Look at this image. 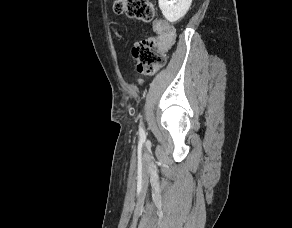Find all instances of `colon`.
Returning a JSON list of instances; mask_svg holds the SVG:
<instances>
[{
  "instance_id": "obj_1",
  "label": "colon",
  "mask_w": 292,
  "mask_h": 228,
  "mask_svg": "<svg viewBox=\"0 0 292 228\" xmlns=\"http://www.w3.org/2000/svg\"><path fill=\"white\" fill-rule=\"evenodd\" d=\"M113 10L116 14H124L128 18L150 22L155 15L154 6L147 0H115ZM157 35L134 43L132 56L137 71L154 74L165 62V53L174 40L173 30L164 22L154 25Z\"/></svg>"
}]
</instances>
